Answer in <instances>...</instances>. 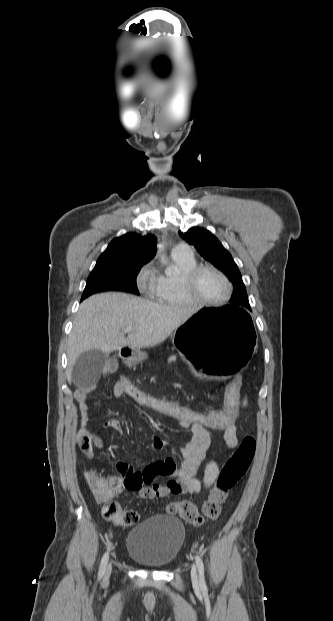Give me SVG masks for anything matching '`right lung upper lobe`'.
I'll return each instance as SVG.
<instances>
[{"label":"right lung upper lobe","mask_w":333,"mask_h":621,"mask_svg":"<svg viewBox=\"0 0 333 621\" xmlns=\"http://www.w3.org/2000/svg\"><path fill=\"white\" fill-rule=\"evenodd\" d=\"M156 253V237L148 234L140 236L127 233L111 241L107 249L98 258L101 262H140L148 263Z\"/></svg>","instance_id":"cb5924a9"}]
</instances>
